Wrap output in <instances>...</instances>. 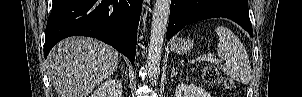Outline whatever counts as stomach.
Here are the masks:
<instances>
[{
	"label": "stomach",
	"mask_w": 302,
	"mask_h": 97,
	"mask_svg": "<svg viewBox=\"0 0 302 97\" xmlns=\"http://www.w3.org/2000/svg\"><path fill=\"white\" fill-rule=\"evenodd\" d=\"M193 46L194 42L191 39L176 38L171 43V51L178 55H183L191 51Z\"/></svg>",
	"instance_id": "0dacf381"
}]
</instances>
